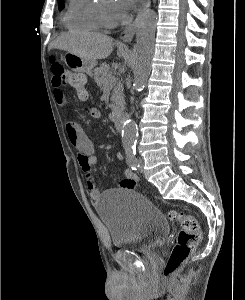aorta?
<instances>
[{
  "label": "aorta",
  "instance_id": "762f6f07",
  "mask_svg": "<svg viewBox=\"0 0 245 300\" xmlns=\"http://www.w3.org/2000/svg\"><path fill=\"white\" fill-rule=\"evenodd\" d=\"M157 25V15L153 10L145 11L138 22L136 34L134 89L142 91L147 82L151 70L154 50V38ZM137 138V125L132 119H128L122 130V143L126 150L135 146Z\"/></svg>",
  "mask_w": 245,
  "mask_h": 300
}]
</instances>
